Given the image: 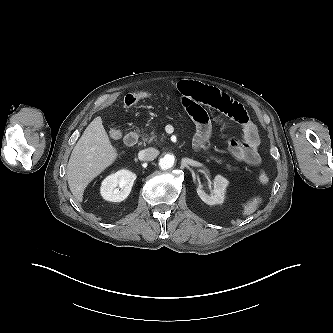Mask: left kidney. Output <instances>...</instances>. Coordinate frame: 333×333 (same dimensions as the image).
<instances>
[{
  "label": "left kidney",
  "mask_w": 333,
  "mask_h": 333,
  "mask_svg": "<svg viewBox=\"0 0 333 333\" xmlns=\"http://www.w3.org/2000/svg\"><path fill=\"white\" fill-rule=\"evenodd\" d=\"M214 189L211 195L204 192L201 187L197 188V194L201 200L208 205L222 204L225 198V190L228 186V180L221 175L214 178Z\"/></svg>",
  "instance_id": "left-kidney-1"
}]
</instances>
